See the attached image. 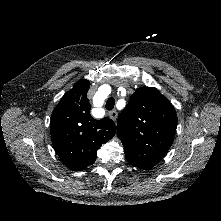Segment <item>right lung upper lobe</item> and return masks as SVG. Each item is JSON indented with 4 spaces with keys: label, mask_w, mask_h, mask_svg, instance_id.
Listing matches in <instances>:
<instances>
[{
    "label": "right lung upper lobe",
    "mask_w": 221,
    "mask_h": 221,
    "mask_svg": "<svg viewBox=\"0 0 221 221\" xmlns=\"http://www.w3.org/2000/svg\"><path fill=\"white\" fill-rule=\"evenodd\" d=\"M89 86L88 80L78 81L57 104L50 121L53 147L61 161L75 171L93 164L97 150L116 133L111 119L91 117Z\"/></svg>",
    "instance_id": "1"
}]
</instances>
